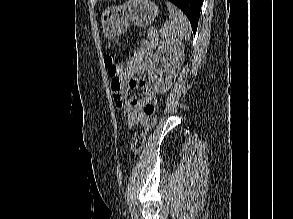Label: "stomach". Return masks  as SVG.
<instances>
[{
    "label": "stomach",
    "instance_id": "1",
    "mask_svg": "<svg viewBox=\"0 0 293 219\" xmlns=\"http://www.w3.org/2000/svg\"><path fill=\"white\" fill-rule=\"evenodd\" d=\"M158 12V6L150 0H128L123 5L109 7L101 15L104 36L109 40L118 39L127 31L130 23L147 27Z\"/></svg>",
    "mask_w": 293,
    "mask_h": 219
}]
</instances>
